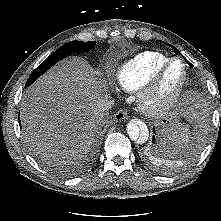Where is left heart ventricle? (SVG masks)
Listing matches in <instances>:
<instances>
[{
	"label": "left heart ventricle",
	"instance_id": "b2bd125f",
	"mask_svg": "<svg viewBox=\"0 0 221 221\" xmlns=\"http://www.w3.org/2000/svg\"><path fill=\"white\" fill-rule=\"evenodd\" d=\"M182 72L180 63H175L171 66L159 89L157 100L167 99L176 91L182 79Z\"/></svg>",
	"mask_w": 221,
	"mask_h": 221
}]
</instances>
